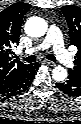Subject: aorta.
<instances>
[{"instance_id":"obj_1","label":"aorta","mask_w":81,"mask_h":124,"mask_svg":"<svg viewBox=\"0 0 81 124\" xmlns=\"http://www.w3.org/2000/svg\"><path fill=\"white\" fill-rule=\"evenodd\" d=\"M47 22L41 17H31L25 23V31L31 37H41L47 32ZM53 78L62 82L67 78V70L57 66L52 71Z\"/></svg>"}]
</instances>
